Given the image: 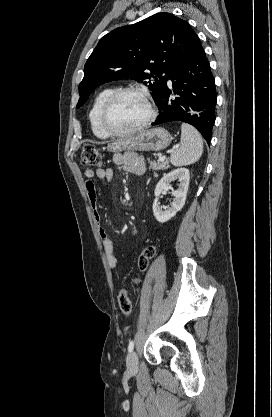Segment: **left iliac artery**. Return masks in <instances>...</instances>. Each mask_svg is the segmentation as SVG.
I'll return each mask as SVG.
<instances>
[{
    "label": "left iliac artery",
    "instance_id": "44dca946",
    "mask_svg": "<svg viewBox=\"0 0 272 417\" xmlns=\"http://www.w3.org/2000/svg\"><path fill=\"white\" fill-rule=\"evenodd\" d=\"M133 348H134V341L132 340V341H130V343L128 345V351L129 352H132L133 351Z\"/></svg>",
    "mask_w": 272,
    "mask_h": 417
}]
</instances>
